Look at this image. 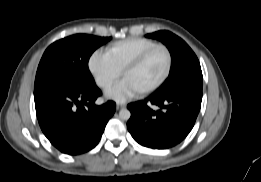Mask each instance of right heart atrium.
Instances as JSON below:
<instances>
[{
    "instance_id": "1",
    "label": "right heart atrium",
    "mask_w": 261,
    "mask_h": 182,
    "mask_svg": "<svg viewBox=\"0 0 261 182\" xmlns=\"http://www.w3.org/2000/svg\"><path fill=\"white\" fill-rule=\"evenodd\" d=\"M88 69L96 85L108 90L121 76V72L114 66L106 53L95 51L88 60Z\"/></svg>"
}]
</instances>
